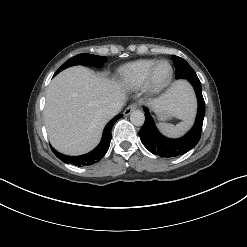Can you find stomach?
<instances>
[{"mask_svg":"<svg viewBox=\"0 0 247 247\" xmlns=\"http://www.w3.org/2000/svg\"><path fill=\"white\" fill-rule=\"evenodd\" d=\"M155 112H156L157 118L160 121H166V120L172 119L174 117L172 112L167 108L156 109Z\"/></svg>","mask_w":247,"mask_h":247,"instance_id":"0dacf381","label":"stomach"}]
</instances>
